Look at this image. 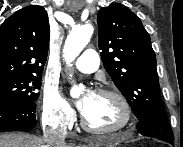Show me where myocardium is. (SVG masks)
Returning <instances> with one entry per match:
<instances>
[{"label":"myocardium","mask_w":183,"mask_h":147,"mask_svg":"<svg viewBox=\"0 0 183 147\" xmlns=\"http://www.w3.org/2000/svg\"><path fill=\"white\" fill-rule=\"evenodd\" d=\"M95 93L99 94V95H107V96H111V97L115 98L123 109L124 120L119 126L99 129V128H95L91 124H89V122L86 120L85 116L82 113L81 114V125L86 131L93 133V134H97V135H107V134L122 132L126 129H129L132 126V124H133L132 107H131L129 101L126 99V97L122 93H120L117 90L110 89V88H101V89H98Z\"/></svg>","instance_id":"1"}]
</instances>
